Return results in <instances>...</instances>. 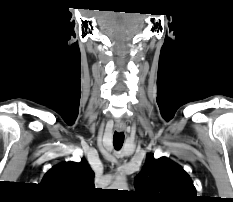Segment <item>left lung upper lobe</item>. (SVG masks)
<instances>
[{"instance_id":"left-lung-upper-lobe-1","label":"left lung upper lobe","mask_w":233,"mask_h":202,"mask_svg":"<svg viewBox=\"0 0 233 202\" xmlns=\"http://www.w3.org/2000/svg\"><path fill=\"white\" fill-rule=\"evenodd\" d=\"M136 193L144 202H195L196 189L186 171L172 160L148 154L136 177Z\"/></svg>"}]
</instances>
